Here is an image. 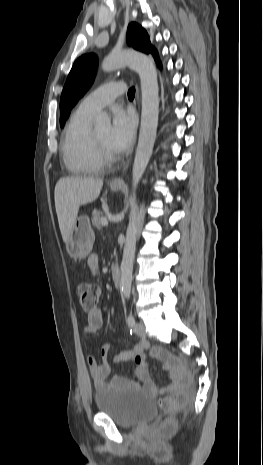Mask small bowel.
<instances>
[{"mask_svg": "<svg viewBox=\"0 0 263 465\" xmlns=\"http://www.w3.org/2000/svg\"><path fill=\"white\" fill-rule=\"evenodd\" d=\"M88 268L92 273H95L99 267V258L97 255H91L87 260ZM103 324L102 311L99 308L88 312L87 324L83 329L84 334L93 335L98 332ZM146 343H138L132 349L123 351L114 356V362H135V374L142 384H139L126 377L115 375L110 380L111 365L108 360V352L110 344H105L101 349V362L99 363L94 356H88L86 361L90 375L96 389H103L107 386L113 387H129L142 388L148 393L157 394V388L150 378L147 366L144 363L143 352L146 349Z\"/></svg>", "mask_w": 263, "mask_h": 465, "instance_id": "1", "label": "small bowel"}]
</instances>
